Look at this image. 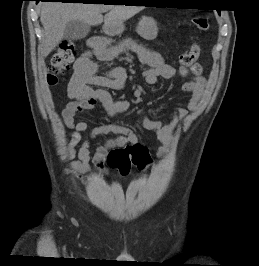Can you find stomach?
Here are the masks:
<instances>
[{
    "instance_id": "0dacf381",
    "label": "stomach",
    "mask_w": 259,
    "mask_h": 266,
    "mask_svg": "<svg viewBox=\"0 0 259 266\" xmlns=\"http://www.w3.org/2000/svg\"><path fill=\"white\" fill-rule=\"evenodd\" d=\"M124 30L123 23L117 24L115 26L108 27L106 30L109 35H116L122 33ZM138 34L146 40H153L157 37L158 28L155 20L150 17H144L138 24L137 27Z\"/></svg>"
}]
</instances>
